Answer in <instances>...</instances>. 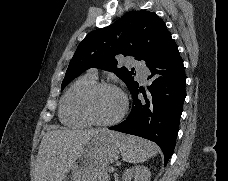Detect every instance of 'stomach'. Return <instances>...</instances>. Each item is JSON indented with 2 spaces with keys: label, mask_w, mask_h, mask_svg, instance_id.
Wrapping results in <instances>:
<instances>
[{
  "label": "stomach",
  "mask_w": 228,
  "mask_h": 181,
  "mask_svg": "<svg viewBox=\"0 0 228 181\" xmlns=\"http://www.w3.org/2000/svg\"><path fill=\"white\" fill-rule=\"evenodd\" d=\"M126 143L125 135L102 129L77 153L71 167V181H104L102 169L117 161ZM64 181V179H63Z\"/></svg>",
  "instance_id": "obj_1"
}]
</instances>
